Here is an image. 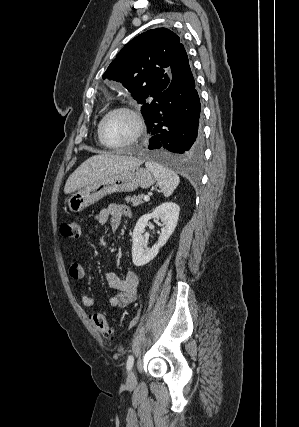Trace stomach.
<instances>
[{"label":"stomach","instance_id":"0dacf381","mask_svg":"<svg viewBox=\"0 0 299 427\" xmlns=\"http://www.w3.org/2000/svg\"><path fill=\"white\" fill-rule=\"evenodd\" d=\"M154 183L155 178L147 169L130 168L83 187L68 198L67 205L71 212H81L107 195L132 192L138 187L147 189Z\"/></svg>","mask_w":299,"mask_h":427}]
</instances>
